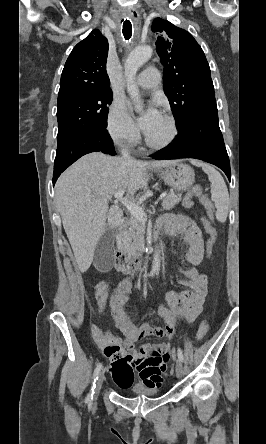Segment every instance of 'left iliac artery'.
I'll return each instance as SVG.
<instances>
[{
  "label": "left iliac artery",
  "mask_w": 266,
  "mask_h": 444,
  "mask_svg": "<svg viewBox=\"0 0 266 444\" xmlns=\"http://www.w3.org/2000/svg\"><path fill=\"white\" fill-rule=\"evenodd\" d=\"M178 359L183 362L184 357H183V353L182 350L180 348H178Z\"/></svg>",
  "instance_id": "obj_1"
}]
</instances>
